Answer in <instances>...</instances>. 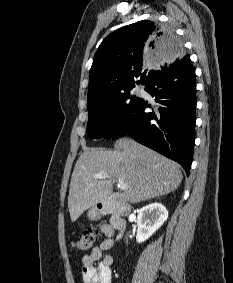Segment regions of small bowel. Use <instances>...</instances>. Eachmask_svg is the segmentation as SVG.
Returning a JSON list of instances; mask_svg holds the SVG:
<instances>
[{"instance_id": "obj_1", "label": "small bowel", "mask_w": 233, "mask_h": 283, "mask_svg": "<svg viewBox=\"0 0 233 283\" xmlns=\"http://www.w3.org/2000/svg\"><path fill=\"white\" fill-rule=\"evenodd\" d=\"M102 233L107 237L92 251L82 258V279L83 283H111L113 256L104 254L114 242L112 239L113 230L108 225H103ZM98 262V264H96Z\"/></svg>"}]
</instances>
